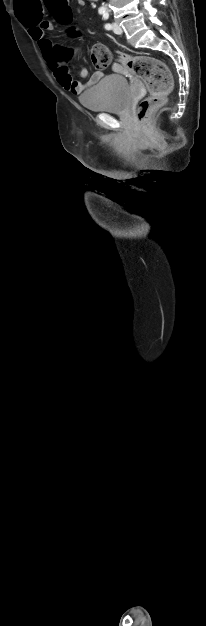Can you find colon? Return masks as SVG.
<instances>
[{
  "instance_id": "colon-1",
  "label": "colon",
  "mask_w": 206,
  "mask_h": 626,
  "mask_svg": "<svg viewBox=\"0 0 206 626\" xmlns=\"http://www.w3.org/2000/svg\"><path fill=\"white\" fill-rule=\"evenodd\" d=\"M47 8L55 18L63 24L70 23L72 12L68 0H44ZM30 24V23H29ZM61 61L72 55V51L56 53ZM91 61L96 68H106L111 60V55L106 46L94 45L90 50ZM119 59L127 65L135 76L140 78L147 86L149 95L140 102L137 109V117L142 127L149 128L148 113L165 103L172 87V77L167 66L160 60L142 55H131L119 52Z\"/></svg>"
}]
</instances>
